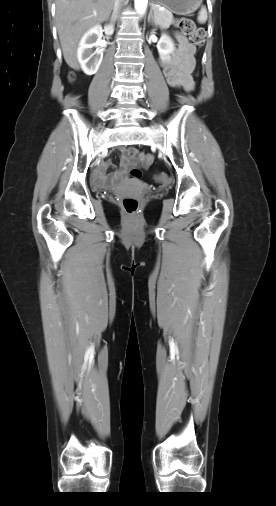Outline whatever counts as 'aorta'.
<instances>
[{"instance_id": "aorta-1", "label": "aorta", "mask_w": 276, "mask_h": 506, "mask_svg": "<svg viewBox=\"0 0 276 506\" xmlns=\"http://www.w3.org/2000/svg\"><path fill=\"white\" fill-rule=\"evenodd\" d=\"M135 9L140 16L145 14L148 0H134Z\"/></svg>"}]
</instances>
